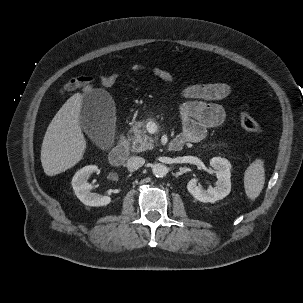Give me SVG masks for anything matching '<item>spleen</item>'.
I'll list each match as a JSON object with an SVG mask.
<instances>
[{
	"mask_svg": "<svg viewBox=\"0 0 303 303\" xmlns=\"http://www.w3.org/2000/svg\"><path fill=\"white\" fill-rule=\"evenodd\" d=\"M265 183L264 162L256 159L244 173V188L249 199L255 200L261 193Z\"/></svg>",
	"mask_w": 303,
	"mask_h": 303,
	"instance_id": "1",
	"label": "spleen"
}]
</instances>
